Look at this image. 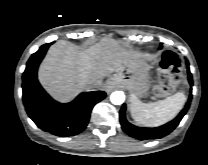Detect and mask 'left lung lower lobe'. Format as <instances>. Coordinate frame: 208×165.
Here are the masks:
<instances>
[{"label":"left lung lower lobe","instance_id":"1","mask_svg":"<svg viewBox=\"0 0 208 165\" xmlns=\"http://www.w3.org/2000/svg\"><path fill=\"white\" fill-rule=\"evenodd\" d=\"M187 69H188V80L190 85L192 86L193 80H192V74L189 70V63L186 61ZM192 100V94H190L188 102L186 103L184 109L179 113V115L172 121L168 122L165 125H162L160 127L156 128H141L134 126L130 124L125 117V110L126 105L123 104L119 114H120V123L122 126V129L130 136L137 138L139 140H145V139H156V138H162L169 133H171L180 123L184 115L186 114L187 110L190 107V103Z\"/></svg>","mask_w":208,"mask_h":165}]
</instances>
